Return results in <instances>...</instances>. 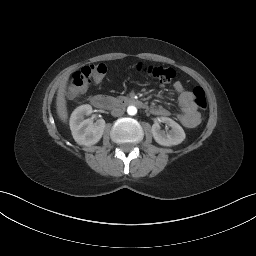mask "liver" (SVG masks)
Returning <instances> with one entry per match:
<instances>
[{"label": "liver", "mask_w": 256, "mask_h": 256, "mask_svg": "<svg viewBox=\"0 0 256 256\" xmlns=\"http://www.w3.org/2000/svg\"><path fill=\"white\" fill-rule=\"evenodd\" d=\"M69 79V74H66L62 80L60 81L59 88L57 91L56 97V111L59 119L62 122H67L68 112H67V104H66V87Z\"/></svg>", "instance_id": "obj_1"}]
</instances>
